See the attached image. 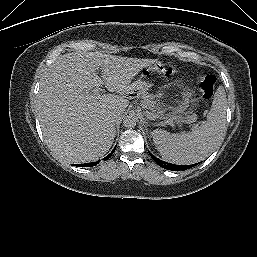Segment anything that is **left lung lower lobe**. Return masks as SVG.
Wrapping results in <instances>:
<instances>
[{
    "label": "left lung lower lobe",
    "mask_w": 257,
    "mask_h": 257,
    "mask_svg": "<svg viewBox=\"0 0 257 257\" xmlns=\"http://www.w3.org/2000/svg\"><path fill=\"white\" fill-rule=\"evenodd\" d=\"M150 156L153 158V160L161 167L168 169V170H172V171H180V170H187L190 169L194 166H196L199 163L196 164H192V165H175V164H171V163H167L164 162L158 158H156L155 156H153L150 152H149Z\"/></svg>",
    "instance_id": "left-lung-lower-lobe-1"
}]
</instances>
